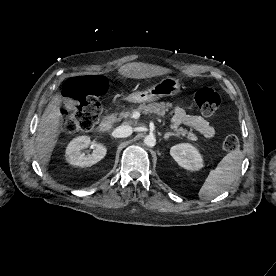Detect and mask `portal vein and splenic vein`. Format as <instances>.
I'll return each instance as SVG.
<instances>
[{
	"instance_id": "18ae733b",
	"label": "portal vein and splenic vein",
	"mask_w": 276,
	"mask_h": 276,
	"mask_svg": "<svg viewBox=\"0 0 276 276\" xmlns=\"http://www.w3.org/2000/svg\"><path fill=\"white\" fill-rule=\"evenodd\" d=\"M134 115H135V118H138L140 116L138 112H136Z\"/></svg>"
}]
</instances>
